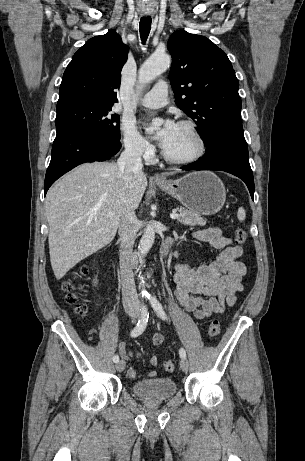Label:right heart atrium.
<instances>
[{"instance_id":"obj_1","label":"right heart atrium","mask_w":305,"mask_h":461,"mask_svg":"<svg viewBox=\"0 0 305 461\" xmlns=\"http://www.w3.org/2000/svg\"><path fill=\"white\" fill-rule=\"evenodd\" d=\"M122 142L128 153L135 157L150 158L154 151L153 146L143 137L129 121L124 120L121 123Z\"/></svg>"}]
</instances>
